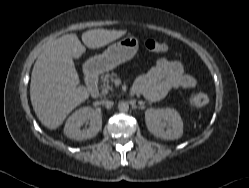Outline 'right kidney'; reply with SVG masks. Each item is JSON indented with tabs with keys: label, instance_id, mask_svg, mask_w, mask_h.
Wrapping results in <instances>:
<instances>
[{
	"label": "right kidney",
	"instance_id": "right-kidney-1",
	"mask_svg": "<svg viewBox=\"0 0 249 188\" xmlns=\"http://www.w3.org/2000/svg\"><path fill=\"white\" fill-rule=\"evenodd\" d=\"M90 121L88 128L81 129L85 121ZM102 129L100 108L83 107L75 111L66 121L64 134L75 140H86L94 137Z\"/></svg>",
	"mask_w": 249,
	"mask_h": 188
}]
</instances>
